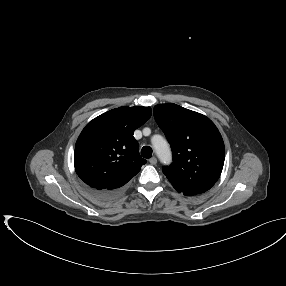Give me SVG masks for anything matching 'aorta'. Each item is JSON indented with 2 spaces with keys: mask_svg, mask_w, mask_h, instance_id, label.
Returning a JSON list of instances; mask_svg holds the SVG:
<instances>
[{
  "mask_svg": "<svg viewBox=\"0 0 286 286\" xmlns=\"http://www.w3.org/2000/svg\"><path fill=\"white\" fill-rule=\"evenodd\" d=\"M152 144L161 162L165 164L169 163L171 160V152L167 141L157 135L153 137Z\"/></svg>",
  "mask_w": 286,
  "mask_h": 286,
  "instance_id": "1",
  "label": "aorta"
}]
</instances>
